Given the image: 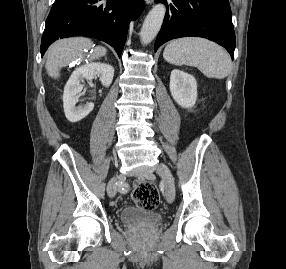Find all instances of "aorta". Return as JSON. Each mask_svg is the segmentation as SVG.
Instances as JSON below:
<instances>
[{
  "mask_svg": "<svg viewBox=\"0 0 286 269\" xmlns=\"http://www.w3.org/2000/svg\"><path fill=\"white\" fill-rule=\"evenodd\" d=\"M166 13V7L162 3L156 4L146 16L141 31V43L146 45L150 43L160 31L163 19Z\"/></svg>",
  "mask_w": 286,
  "mask_h": 269,
  "instance_id": "obj_1",
  "label": "aorta"
}]
</instances>
